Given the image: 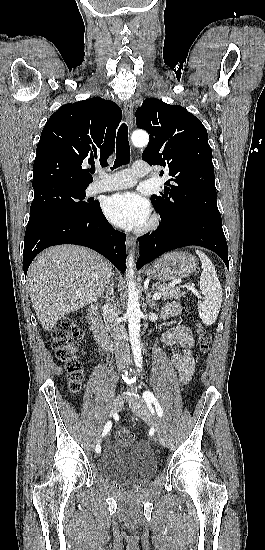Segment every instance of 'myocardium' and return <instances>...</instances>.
<instances>
[{
	"label": "myocardium",
	"mask_w": 265,
	"mask_h": 550,
	"mask_svg": "<svg viewBox=\"0 0 265 550\" xmlns=\"http://www.w3.org/2000/svg\"><path fill=\"white\" fill-rule=\"evenodd\" d=\"M156 225H157V219L155 218V219H153V220L151 221L150 226H151V227H154V226H156Z\"/></svg>",
	"instance_id": "1"
}]
</instances>
